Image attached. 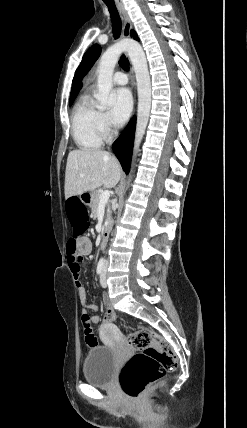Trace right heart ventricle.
<instances>
[{
    "instance_id": "e07e8e85",
    "label": "right heart ventricle",
    "mask_w": 247,
    "mask_h": 428,
    "mask_svg": "<svg viewBox=\"0 0 247 428\" xmlns=\"http://www.w3.org/2000/svg\"><path fill=\"white\" fill-rule=\"evenodd\" d=\"M99 113L88 95H84L74 107L72 135L80 149L94 150L102 145L103 134L99 126Z\"/></svg>"
}]
</instances>
